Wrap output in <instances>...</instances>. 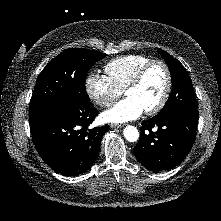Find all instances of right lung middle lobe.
<instances>
[{"mask_svg": "<svg viewBox=\"0 0 221 221\" xmlns=\"http://www.w3.org/2000/svg\"><path fill=\"white\" fill-rule=\"evenodd\" d=\"M106 54L83 48H69L51 60L42 70L30 100L33 121L62 103L85 105L90 102L85 89L89 68Z\"/></svg>", "mask_w": 221, "mask_h": 221, "instance_id": "obj_1", "label": "right lung middle lobe"}]
</instances>
